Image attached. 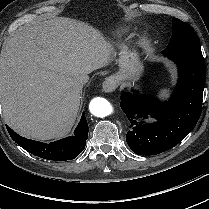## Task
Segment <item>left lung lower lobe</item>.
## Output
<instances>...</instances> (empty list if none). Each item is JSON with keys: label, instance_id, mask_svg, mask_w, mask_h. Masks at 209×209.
I'll list each match as a JSON object with an SVG mask.
<instances>
[{"label": "left lung lower lobe", "instance_id": "obj_1", "mask_svg": "<svg viewBox=\"0 0 209 209\" xmlns=\"http://www.w3.org/2000/svg\"><path fill=\"white\" fill-rule=\"evenodd\" d=\"M163 55L179 69L177 92L169 102L129 92L121 95L120 106L130 122L126 141L138 155H156L176 146L193 130L201 114L205 62L200 45ZM148 116L157 122L146 123Z\"/></svg>", "mask_w": 209, "mask_h": 209}]
</instances>
